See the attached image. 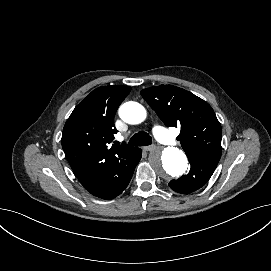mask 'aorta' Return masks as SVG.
Instances as JSON below:
<instances>
[{"label": "aorta", "mask_w": 271, "mask_h": 271, "mask_svg": "<svg viewBox=\"0 0 271 271\" xmlns=\"http://www.w3.org/2000/svg\"><path fill=\"white\" fill-rule=\"evenodd\" d=\"M119 116L128 124H139L145 120L146 110L137 102H126L119 108ZM149 162L153 170L163 178L179 177L188 167L187 157L175 147L152 151Z\"/></svg>", "instance_id": "1"}]
</instances>
